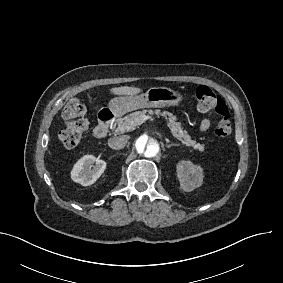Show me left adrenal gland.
Returning <instances> with one entry per match:
<instances>
[{
	"mask_svg": "<svg viewBox=\"0 0 283 283\" xmlns=\"http://www.w3.org/2000/svg\"><path fill=\"white\" fill-rule=\"evenodd\" d=\"M180 144L178 143V144H176V143H171V144H167L166 145V147L167 148H170V147H172V146H179Z\"/></svg>",
	"mask_w": 283,
	"mask_h": 283,
	"instance_id": "1",
	"label": "left adrenal gland"
}]
</instances>
